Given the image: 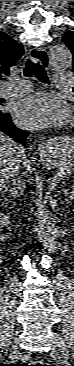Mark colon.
I'll return each instance as SVG.
<instances>
[{
	"instance_id": "colon-1",
	"label": "colon",
	"mask_w": 74,
	"mask_h": 366,
	"mask_svg": "<svg viewBox=\"0 0 74 366\" xmlns=\"http://www.w3.org/2000/svg\"><path fill=\"white\" fill-rule=\"evenodd\" d=\"M30 366H53V365L43 362V361H36V362L32 363V365H30Z\"/></svg>"
}]
</instances>
